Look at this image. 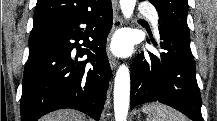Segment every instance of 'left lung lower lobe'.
<instances>
[{
  "instance_id": "0a47b994",
  "label": "left lung lower lobe",
  "mask_w": 217,
  "mask_h": 121,
  "mask_svg": "<svg viewBox=\"0 0 217 121\" xmlns=\"http://www.w3.org/2000/svg\"><path fill=\"white\" fill-rule=\"evenodd\" d=\"M159 33L163 52L159 56L149 53L147 59L141 52L132 65L131 109L148 102H160L193 121H202L190 38L164 23H159ZM151 42L157 47L153 39Z\"/></svg>"
}]
</instances>
